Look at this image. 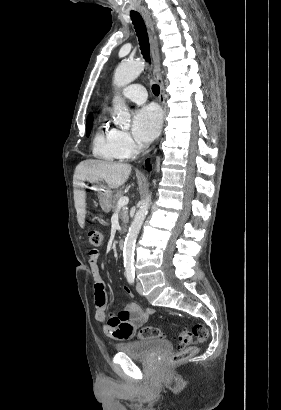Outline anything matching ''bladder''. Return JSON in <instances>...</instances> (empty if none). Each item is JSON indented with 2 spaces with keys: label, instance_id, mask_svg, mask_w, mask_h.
Wrapping results in <instances>:
<instances>
[{
  "label": "bladder",
  "instance_id": "31cf9c89",
  "mask_svg": "<svg viewBox=\"0 0 281 410\" xmlns=\"http://www.w3.org/2000/svg\"><path fill=\"white\" fill-rule=\"evenodd\" d=\"M115 349L118 353L132 358L147 359L156 354L169 352L171 344L161 339H143L116 344Z\"/></svg>",
  "mask_w": 281,
  "mask_h": 410
}]
</instances>
